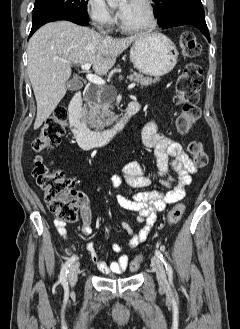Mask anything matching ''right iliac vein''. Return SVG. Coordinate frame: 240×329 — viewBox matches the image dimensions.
Masks as SVG:
<instances>
[{"mask_svg":"<svg viewBox=\"0 0 240 329\" xmlns=\"http://www.w3.org/2000/svg\"><path fill=\"white\" fill-rule=\"evenodd\" d=\"M79 265L80 264L77 261V262L73 263L72 266L70 267L68 279H69V283H70L71 287L75 286V284L77 282Z\"/></svg>","mask_w":240,"mask_h":329,"instance_id":"1","label":"right iliac vein"}]
</instances>
